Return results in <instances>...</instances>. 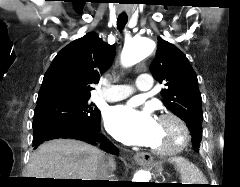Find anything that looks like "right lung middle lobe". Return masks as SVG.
I'll return each instance as SVG.
<instances>
[{"label":"right lung middle lobe","instance_id":"dd1d6c3e","mask_svg":"<svg viewBox=\"0 0 240 187\" xmlns=\"http://www.w3.org/2000/svg\"><path fill=\"white\" fill-rule=\"evenodd\" d=\"M88 98L59 99L37 105L33 126L52 119H60L75 125H87L98 119L99 109Z\"/></svg>","mask_w":240,"mask_h":187}]
</instances>
